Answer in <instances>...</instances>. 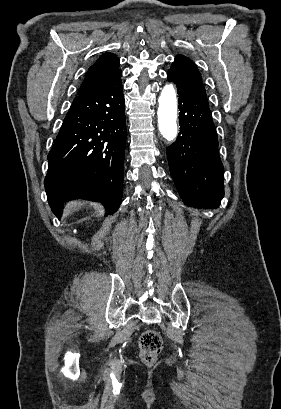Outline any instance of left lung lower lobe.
Wrapping results in <instances>:
<instances>
[{
    "label": "left lung lower lobe",
    "mask_w": 281,
    "mask_h": 409,
    "mask_svg": "<svg viewBox=\"0 0 281 409\" xmlns=\"http://www.w3.org/2000/svg\"><path fill=\"white\" fill-rule=\"evenodd\" d=\"M179 95L177 140L167 148L172 179L186 205L217 207L224 196L223 165L206 94L168 71Z\"/></svg>",
    "instance_id": "obj_1"
}]
</instances>
